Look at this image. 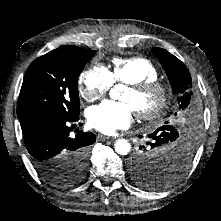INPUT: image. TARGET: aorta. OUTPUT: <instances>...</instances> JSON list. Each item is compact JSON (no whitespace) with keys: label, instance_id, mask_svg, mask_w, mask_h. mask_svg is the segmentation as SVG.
I'll return each mask as SVG.
<instances>
[{"label":"aorta","instance_id":"762f6f07","mask_svg":"<svg viewBox=\"0 0 221 221\" xmlns=\"http://www.w3.org/2000/svg\"><path fill=\"white\" fill-rule=\"evenodd\" d=\"M116 90H111L110 92V96L113 97V94L115 93ZM114 148H115V151L117 152V154L119 155H127L130 150H131V145L129 143L128 140L126 139H118L115 144H114Z\"/></svg>","mask_w":221,"mask_h":221}]
</instances>
